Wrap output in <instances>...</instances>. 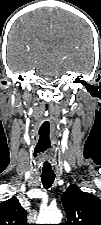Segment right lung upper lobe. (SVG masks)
I'll list each match as a JSON object with an SVG mask.
<instances>
[{"label":"right lung upper lobe","instance_id":"obj_1","mask_svg":"<svg viewBox=\"0 0 101 225\" xmlns=\"http://www.w3.org/2000/svg\"><path fill=\"white\" fill-rule=\"evenodd\" d=\"M26 216L16 197L0 203V225H28Z\"/></svg>","mask_w":101,"mask_h":225}]
</instances>
